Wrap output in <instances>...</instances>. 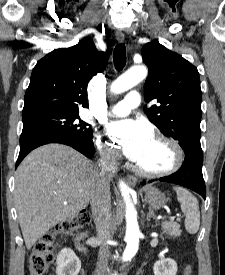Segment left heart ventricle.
<instances>
[{
  "instance_id": "b2bd125f",
  "label": "left heart ventricle",
  "mask_w": 225,
  "mask_h": 275,
  "mask_svg": "<svg viewBox=\"0 0 225 275\" xmlns=\"http://www.w3.org/2000/svg\"><path fill=\"white\" fill-rule=\"evenodd\" d=\"M171 161L170 148L164 142L153 139L136 164L144 170L158 171L167 168Z\"/></svg>"
}]
</instances>
